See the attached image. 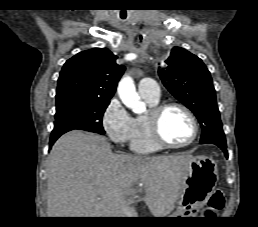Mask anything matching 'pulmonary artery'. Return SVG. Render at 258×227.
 Returning a JSON list of instances; mask_svg holds the SVG:
<instances>
[{"label":"pulmonary artery","instance_id":"pulmonary-artery-1","mask_svg":"<svg viewBox=\"0 0 258 227\" xmlns=\"http://www.w3.org/2000/svg\"><path fill=\"white\" fill-rule=\"evenodd\" d=\"M138 91L141 97L148 98L151 100H159L160 88L156 81L149 78L140 80L138 84Z\"/></svg>","mask_w":258,"mask_h":227}]
</instances>
